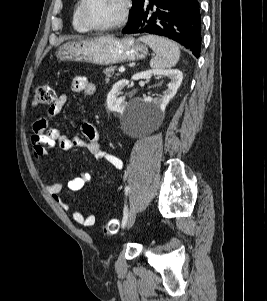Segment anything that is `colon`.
Returning <instances> with one entry per match:
<instances>
[{"instance_id":"colon-1","label":"colon","mask_w":267,"mask_h":301,"mask_svg":"<svg viewBox=\"0 0 267 301\" xmlns=\"http://www.w3.org/2000/svg\"><path fill=\"white\" fill-rule=\"evenodd\" d=\"M55 100V91L49 85L43 84L36 87L34 92V105L45 106L50 105ZM104 232L108 235L115 234L119 230L118 219H110L104 225Z\"/></svg>"}]
</instances>
